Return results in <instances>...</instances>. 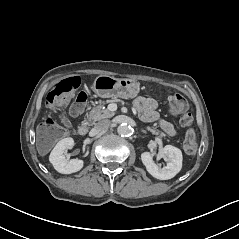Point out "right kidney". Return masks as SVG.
I'll use <instances>...</instances> for the list:
<instances>
[{
  "instance_id": "ca27d5eb",
  "label": "right kidney",
  "mask_w": 239,
  "mask_h": 239,
  "mask_svg": "<svg viewBox=\"0 0 239 239\" xmlns=\"http://www.w3.org/2000/svg\"><path fill=\"white\" fill-rule=\"evenodd\" d=\"M75 147V140L72 137H67L60 140L50 153L49 161L54 166L55 170L62 174H70L80 171L84 166V160L68 159L63 155L67 149Z\"/></svg>"
}]
</instances>
